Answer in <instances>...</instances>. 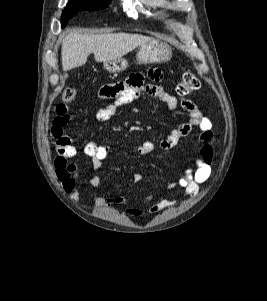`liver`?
<instances>
[{
  "label": "liver",
  "mask_w": 267,
  "mask_h": 301,
  "mask_svg": "<svg viewBox=\"0 0 267 301\" xmlns=\"http://www.w3.org/2000/svg\"><path fill=\"white\" fill-rule=\"evenodd\" d=\"M152 40V37L139 34L86 35L73 31L63 39L62 68L64 71H69L84 65L91 53H94L97 62L122 58L136 47Z\"/></svg>",
  "instance_id": "1"
}]
</instances>
